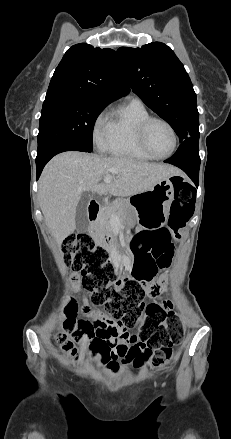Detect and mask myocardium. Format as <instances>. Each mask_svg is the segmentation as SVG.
Returning a JSON list of instances; mask_svg holds the SVG:
<instances>
[{
    "label": "myocardium",
    "instance_id": "1",
    "mask_svg": "<svg viewBox=\"0 0 231 439\" xmlns=\"http://www.w3.org/2000/svg\"><path fill=\"white\" fill-rule=\"evenodd\" d=\"M155 122H160L163 123L164 125H166L168 127V129L170 130L172 137H173V146L172 149L170 150L169 153L165 154V155H157L155 154L152 149L150 148L149 144H148V140H147V134L148 131L151 127V125ZM138 141L139 144L141 146V148L148 154L150 155L153 159H166L169 158L171 155H173L178 147V134L176 129L174 128V126L166 119L162 118V117H149L147 118L140 126L139 131H138Z\"/></svg>",
    "mask_w": 231,
    "mask_h": 439
}]
</instances>
